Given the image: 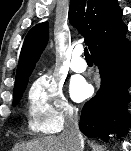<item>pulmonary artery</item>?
<instances>
[{
  "label": "pulmonary artery",
  "mask_w": 131,
  "mask_h": 151,
  "mask_svg": "<svg viewBox=\"0 0 131 151\" xmlns=\"http://www.w3.org/2000/svg\"><path fill=\"white\" fill-rule=\"evenodd\" d=\"M81 54H82L81 49H75L73 52L71 63H70V67L72 71L76 73H82L87 68V64L85 60L81 57Z\"/></svg>",
  "instance_id": "obj_1"
}]
</instances>
